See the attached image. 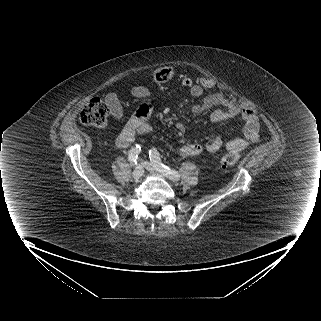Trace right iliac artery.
Returning a JSON list of instances; mask_svg holds the SVG:
<instances>
[{"label": "right iliac artery", "mask_w": 321, "mask_h": 321, "mask_svg": "<svg viewBox=\"0 0 321 321\" xmlns=\"http://www.w3.org/2000/svg\"><path fill=\"white\" fill-rule=\"evenodd\" d=\"M141 151V146L140 145H135L134 147H132L129 151L128 154V160L131 162V164H137V158L138 155Z\"/></svg>", "instance_id": "right-iliac-artery-1"}]
</instances>
